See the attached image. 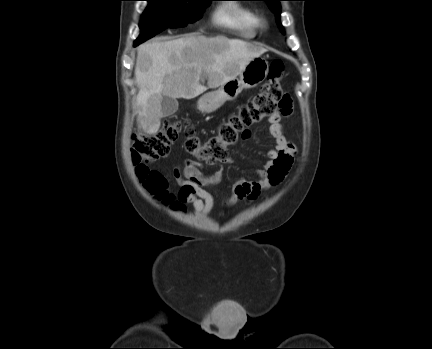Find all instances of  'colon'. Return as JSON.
<instances>
[{
    "label": "colon",
    "instance_id": "5ec220e1",
    "mask_svg": "<svg viewBox=\"0 0 432 349\" xmlns=\"http://www.w3.org/2000/svg\"><path fill=\"white\" fill-rule=\"evenodd\" d=\"M283 76L284 63L278 59L273 60L269 67L268 80L261 91L222 121L216 134L207 141H201L195 129L185 121H167L154 134L134 135L132 160L136 174L145 188L164 203L178 206L169 192L167 177L150 169L148 165L166 156L183 131L186 133L187 153L210 164L223 160L230 146L240 138L249 136L251 125L291 108L290 96L282 88Z\"/></svg>",
    "mask_w": 432,
    "mask_h": 349
}]
</instances>
